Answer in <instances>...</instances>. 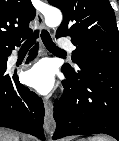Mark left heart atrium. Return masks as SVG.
Instances as JSON below:
<instances>
[{
	"instance_id": "1",
	"label": "left heart atrium",
	"mask_w": 119,
	"mask_h": 141,
	"mask_svg": "<svg viewBox=\"0 0 119 141\" xmlns=\"http://www.w3.org/2000/svg\"><path fill=\"white\" fill-rule=\"evenodd\" d=\"M26 83L42 94L48 93L54 85V69L47 60L36 63L25 73Z\"/></svg>"
}]
</instances>
